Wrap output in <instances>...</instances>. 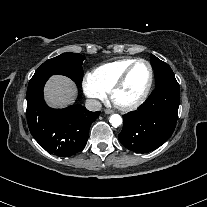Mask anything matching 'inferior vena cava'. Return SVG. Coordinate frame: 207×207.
I'll return each mask as SVG.
<instances>
[{
    "mask_svg": "<svg viewBox=\"0 0 207 207\" xmlns=\"http://www.w3.org/2000/svg\"><path fill=\"white\" fill-rule=\"evenodd\" d=\"M85 107L87 108V110L95 112L101 109V103L100 101L95 99H88L85 102Z\"/></svg>",
    "mask_w": 207,
    "mask_h": 207,
    "instance_id": "obj_1",
    "label": "inferior vena cava"
}]
</instances>
